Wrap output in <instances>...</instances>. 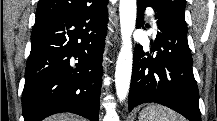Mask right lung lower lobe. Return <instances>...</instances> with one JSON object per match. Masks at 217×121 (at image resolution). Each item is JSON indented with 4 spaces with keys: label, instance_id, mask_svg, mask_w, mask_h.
<instances>
[{
    "label": "right lung lower lobe",
    "instance_id": "obj_1",
    "mask_svg": "<svg viewBox=\"0 0 217 121\" xmlns=\"http://www.w3.org/2000/svg\"><path fill=\"white\" fill-rule=\"evenodd\" d=\"M108 0L36 21L22 93L24 121L71 112L98 121Z\"/></svg>",
    "mask_w": 217,
    "mask_h": 121
}]
</instances>
